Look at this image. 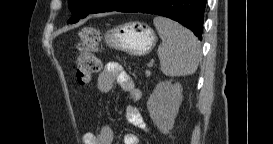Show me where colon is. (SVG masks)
<instances>
[{
  "mask_svg": "<svg viewBox=\"0 0 273 144\" xmlns=\"http://www.w3.org/2000/svg\"><path fill=\"white\" fill-rule=\"evenodd\" d=\"M79 53L76 57V77L82 84H88L100 69V61L95 54L98 31L95 28H85L80 33Z\"/></svg>",
  "mask_w": 273,
  "mask_h": 144,
  "instance_id": "obj_1",
  "label": "colon"
}]
</instances>
